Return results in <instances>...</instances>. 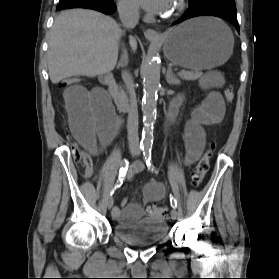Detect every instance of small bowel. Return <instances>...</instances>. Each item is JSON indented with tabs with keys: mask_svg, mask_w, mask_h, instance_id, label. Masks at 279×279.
Instances as JSON below:
<instances>
[{
	"mask_svg": "<svg viewBox=\"0 0 279 279\" xmlns=\"http://www.w3.org/2000/svg\"><path fill=\"white\" fill-rule=\"evenodd\" d=\"M65 108L68 113L69 126L74 138L92 154L98 155L114 140L119 120L107 95L101 89L88 90L75 85L64 91ZM179 102H174L168 113L172 120L177 112ZM225 113L222 96L218 92L207 94L201 106L196 108L185 127L186 163H193L200 155L205 144L204 125L218 124ZM145 165L137 161L129 168V178L142 172ZM93 175L92 167L85 169L84 176ZM165 196L164 185L156 180L149 181L143 190L145 203L161 200ZM113 216L122 222H134L143 216L140 204L126 202L123 199L120 207H115Z\"/></svg>",
	"mask_w": 279,
	"mask_h": 279,
	"instance_id": "1",
	"label": "small bowel"
}]
</instances>
